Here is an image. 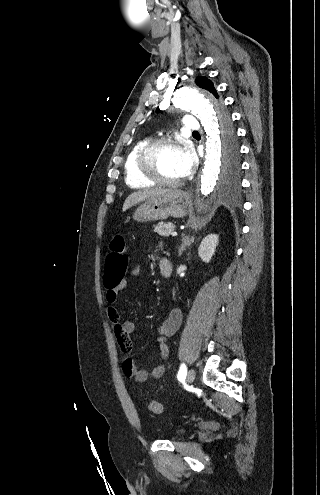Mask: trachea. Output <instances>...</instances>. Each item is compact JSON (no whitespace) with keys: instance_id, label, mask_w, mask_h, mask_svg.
Masks as SVG:
<instances>
[{"instance_id":"obj_1","label":"trachea","mask_w":320,"mask_h":495,"mask_svg":"<svg viewBox=\"0 0 320 495\" xmlns=\"http://www.w3.org/2000/svg\"><path fill=\"white\" fill-rule=\"evenodd\" d=\"M193 133H194V134H198V132H197V131H194Z\"/></svg>"}]
</instances>
